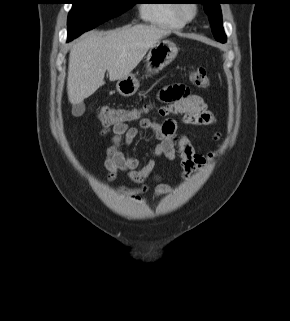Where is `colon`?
I'll return each instance as SVG.
<instances>
[{
  "label": "colon",
  "instance_id": "obj_1",
  "mask_svg": "<svg viewBox=\"0 0 290 321\" xmlns=\"http://www.w3.org/2000/svg\"><path fill=\"white\" fill-rule=\"evenodd\" d=\"M191 82L199 88L209 89L210 79L203 67H195L189 73ZM142 111L139 109H127L122 107H102L98 113V121L104 126L122 125L137 121Z\"/></svg>",
  "mask_w": 290,
  "mask_h": 321
}]
</instances>
